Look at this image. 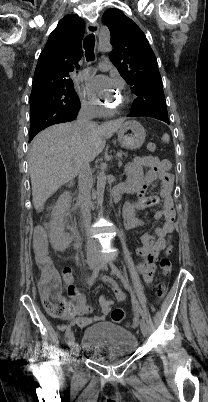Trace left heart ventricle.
<instances>
[{
    "mask_svg": "<svg viewBox=\"0 0 208 402\" xmlns=\"http://www.w3.org/2000/svg\"><path fill=\"white\" fill-rule=\"evenodd\" d=\"M99 95H100L99 93H95L94 97L96 98ZM103 99L106 100V101L114 102V103H120L122 101V97H113L111 95L104 96Z\"/></svg>",
    "mask_w": 208,
    "mask_h": 402,
    "instance_id": "1",
    "label": "left heart ventricle"
}]
</instances>
